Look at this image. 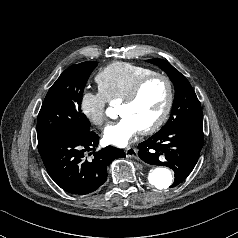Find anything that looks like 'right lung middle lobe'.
<instances>
[{"label":"right lung middle lobe","mask_w":238,"mask_h":238,"mask_svg":"<svg viewBox=\"0 0 238 238\" xmlns=\"http://www.w3.org/2000/svg\"><path fill=\"white\" fill-rule=\"evenodd\" d=\"M97 66L86 61L67 68L49 89L37 120L38 145L64 135L90 131L80 105L85 84Z\"/></svg>","instance_id":"obj_1"}]
</instances>
